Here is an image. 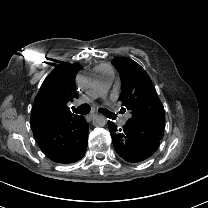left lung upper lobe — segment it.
<instances>
[{
    "instance_id": "1",
    "label": "left lung upper lobe",
    "mask_w": 208,
    "mask_h": 208,
    "mask_svg": "<svg viewBox=\"0 0 208 208\" xmlns=\"http://www.w3.org/2000/svg\"><path fill=\"white\" fill-rule=\"evenodd\" d=\"M112 65L122 80L118 100L122 102V110H128L131 114L128 123L139 132L160 141L164 134V107L150 77L138 63L128 58H115Z\"/></svg>"
}]
</instances>
